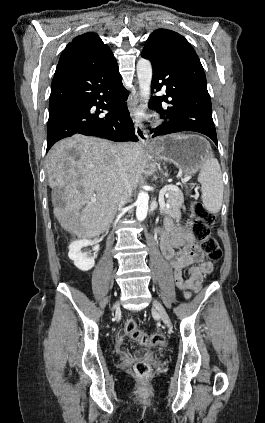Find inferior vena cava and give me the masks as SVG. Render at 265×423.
<instances>
[{"instance_id": "602c4592", "label": "inferior vena cava", "mask_w": 265, "mask_h": 423, "mask_svg": "<svg viewBox=\"0 0 265 423\" xmlns=\"http://www.w3.org/2000/svg\"><path fill=\"white\" fill-rule=\"evenodd\" d=\"M118 165H119V182L117 186V206L120 208L129 201L132 195V185L128 176L126 161L122 157V147H117Z\"/></svg>"}]
</instances>
